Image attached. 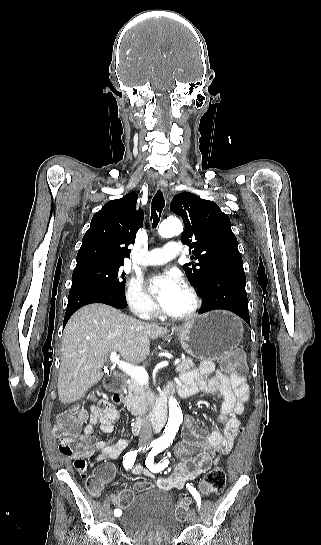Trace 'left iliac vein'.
I'll list each match as a JSON object with an SVG mask.
<instances>
[{
  "label": "left iliac vein",
  "instance_id": "obj_1",
  "mask_svg": "<svg viewBox=\"0 0 321 545\" xmlns=\"http://www.w3.org/2000/svg\"><path fill=\"white\" fill-rule=\"evenodd\" d=\"M197 520V513H196V510H192L191 514H190V518H189V521L191 524H194Z\"/></svg>",
  "mask_w": 321,
  "mask_h": 545
}]
</instances>
